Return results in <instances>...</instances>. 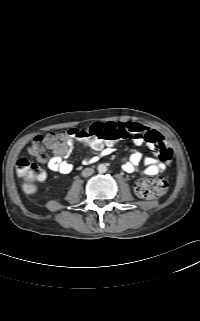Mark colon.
<instances>
[{
  "label": "colon",
  "instance_id": "colon-1",
  "mask_svg": "<svg viewBox=\"0 0 200 321\" xmlns=\"http://www.w3.org/2000/svg\"><path fill=\"white\" fill-rule=\"evenodd\" d=\"M87 142L93 148H99L107 142H115L123 139L120 131L112 128H104L99 124H94L89 127H82L68 131H57L49 133L45 136H37L33 139L29 153L36 160L41 162L46 155V148L51 150L62 151L67 145L69 137ZM172 152L169 151L164 157V160L170 161ZM16 171L23 180V188L26 193H33L36 190V182L42 181L45 178V172L42 167L27 158H20L16 164ZM168 187V181L163 176L146 177L136 181L134 189L136 194L144 199H153L163 195Z\"/></svg>",
  "mask_w": 200,
  "mask_h": 321
}]
</instances>
